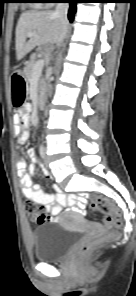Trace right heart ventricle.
Instances as JSON below:
<instances>
[{
    "label": "right heart ventricle",
    "instance_id": "right-heart-ventricle-1",
    "mask_svg": "<svg viewBox=\"0 0 136 296\" xmlns=\"http://www.w3.org/2000/svg\"><path fill=\"white\" fill-rule=\"evenodd\" d=\"M34 6H35V7H43L44 4H42V3H35Z\"/></svg>",
    "mask_w": 136,
    "mask_h": 296
}]
</instances>
